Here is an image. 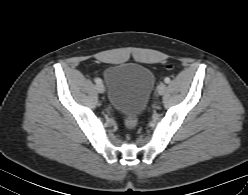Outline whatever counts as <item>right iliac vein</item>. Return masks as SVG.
Here are the masks:
<instances>
[{
    "label": "right iliac vein",
    "mask_w": 248,
    "mask_h": 195,
    "mask_svg": "<svg viewBox=\"0 0 248 195\" xmlns=\"http://www.w3.org/2000/svg\"><path fill=\"white\" fill-rule=\"evenodd\" d=\"M96 90L99 92V93H103L105 91V88L103 86V84H97L96 85Z\"/></svg>",
    "instance_id": "63e3f726"
}]
</instances>
